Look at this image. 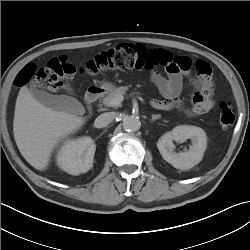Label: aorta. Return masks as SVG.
<instances>
[{
    "label": "aorta",
    "mask_w": 250,
    "mask_h": 250,
    "mask_svg": "<svg viewBox=\"0 0 250 250\" xmlns=\"http://www.w3.org/2000/svg\"><path fill=\"white\" fill-rule=\"evenodd\" d=\"M140 127H141V122L139 118L134 115L126 116L123 119V128L126 131L135 132L138 131Z\"/></svg>",
    "instance_id": "1"
}]
</instances>
